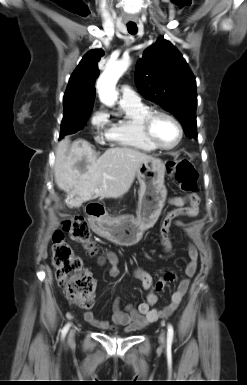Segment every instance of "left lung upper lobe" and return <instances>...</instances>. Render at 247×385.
<instances>
[{"label": "left lung upper lobe", "instance_id": "5c2ea615", "mask_svg": "<svg viewBox=\"0 0 247 385\" xmlns=\"http://www.w3.org/2000/svg\"><path fill=\"white\" fill-rule=\"evenodd\" d=\"M136 85L145 98L174 114L189 138H197L195 77L169 41L160 38L144 51Z\"/></svg>", "mask_w": 247, "mask_h": 385}]
</instances>
